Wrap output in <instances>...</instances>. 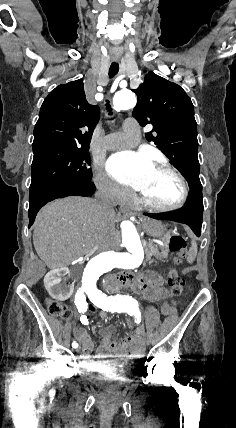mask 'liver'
Listing matches in <instances>:
<instances>
[{"label": "liver", "mask_w": 236, "mask_h": 428, "mask_svg": "<svg viewBox=\"0 0 236 428\" xmlns=\"http://www.w3.org/2000/svg\"><path fill=\"white\" fill-rule=\"evenodd\" d=\"M114 210L104 212L96 200L70 196L44 206L34 224L33 244L48 268H65L95 246L113 248L118 242Z\"/></svg>", "instance_id": "1"}]
</instances>
